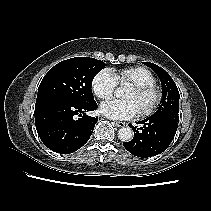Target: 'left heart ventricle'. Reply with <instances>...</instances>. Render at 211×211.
Instances as JSON below:
<instances>
[{
	"label": "left heart ventricle",
	"instance_id": "b2bd125f",
	"mask_svg": "<svg viewBox=\"0 0 211 211\" xmlns=\"http://www.w3.org/2000/svg\"><path fill=\"white\" fill-rule=\"evenodd\" d=\"M124 98L133 100L137 104L139 111H141L142 109L148 107L151 104L153 100V95L151 93L142 95L138 93L133 87H131L125 93Z\"/></svg>",
	"mask_w": 211,
	"mask_h": 211
}]
</instances>
